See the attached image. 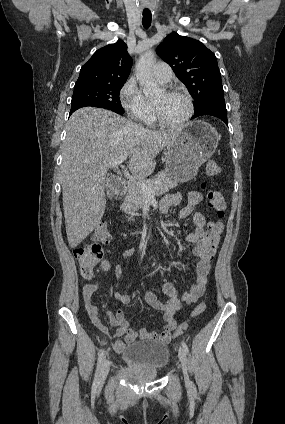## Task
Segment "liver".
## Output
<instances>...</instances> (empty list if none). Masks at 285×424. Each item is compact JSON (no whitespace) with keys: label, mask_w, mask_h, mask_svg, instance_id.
<instances>
[{"label":"liver","mask_w":285,"mask_h":424,"mask_svg":"<svg viewBox=\"0 0 285 424\" xmlns=\"http://www.w3.org/2000/svg\"><path fill=\"white\" fill-rule=\"evenodd\" d=\"M180 129L152 131L112 111L84 107L67 123L62 147L61 186L66 233L77 247L104 215V177L111 163L129 156L128 168L138 178L155 169V158Z\"/></svg>","instance_id":"6515ba94"}]
</instances>
